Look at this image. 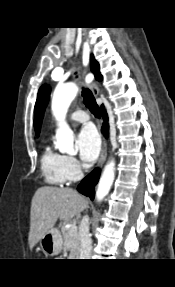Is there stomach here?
Masks as SVG:
<instances>
[{"mask_svg": "<svg viewBox=\"0 0 175 287\" xmlns=\"http://www.w3.org/2000/svg\"><path fill=\"white\" fill-rule=\"evenodd\" d=\"M40 246L43 252L49 256L57 255L61 252L63 239L57 229L49 230L41 239Z\"/></svg>", "mask_w": 175, "mask_h": 287, "instance_id": "0dacf381", "label": "stomach"}]
</instances>
